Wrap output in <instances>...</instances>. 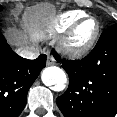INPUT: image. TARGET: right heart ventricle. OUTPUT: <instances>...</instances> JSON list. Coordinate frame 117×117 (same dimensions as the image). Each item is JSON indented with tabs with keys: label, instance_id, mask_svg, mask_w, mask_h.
Here are the masks:
<instances>
[{
	"label": "right heart ventricle",
	"instance_id": "right-heart-ventricle-1",
	"mask_svg": "<svg viewBox=\"0 0 117 117\" xmlns=\"http://www.w3.org/2000/svg\"><path fill=\"white\" fill-rule=\"evenodd\" d=\"M86 16V13L80 10L67 11L59 15L54 30L57 32L65 31L70 28L77 20Z\"/></svg>",
	"mask_w": 117,
	"mask_h": 117
}]
</instances>
